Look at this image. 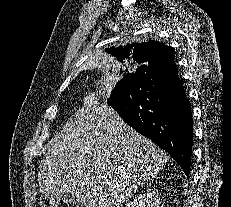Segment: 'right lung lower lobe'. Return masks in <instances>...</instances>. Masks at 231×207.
Returning <instances> with one entry per match:
<instances>
[{
	"label": "right lung lower lobe",
	"mask_w": 231,
	"mask_h": 207,
	"mask_svg": "<svg viewBox=\"0 0 231 207\" xmlns=\"http://www.w3.org/2000/svg\"><path fill=\"white\" fill-rule=\"evenodd\" d=\"M108 104L128 125L168 152L189 178L193 118L176 65L168 69L146 65L127 74Z\"/></svg>",
	"instance_id": "right-lung-lower-lobe-1"
}]
</instances>
